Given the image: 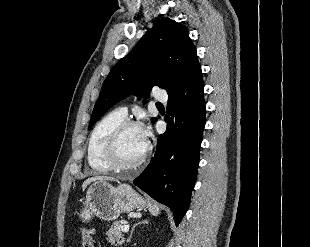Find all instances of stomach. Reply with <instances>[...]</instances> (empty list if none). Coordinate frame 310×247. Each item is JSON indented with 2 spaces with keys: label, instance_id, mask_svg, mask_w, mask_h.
<instances>
[{
  "label": "stomach",
  "instance_id": "obj_1",
  "mask_svg": "<svg viewBox=\"0 0 310 247\" xmlns=\"http://www.w3.org/2000/svg\"><path fill=\"white\" fill-rule=\"evenodd\" d=\"M146 202L130 185L113 187L106 181H96L87 191L82 209L77 215L82 222H89L94 216L104 221L116 220L122 212L144 208Z\"/></svg>",
  "mask_w": 310,
  "mask_h": 247
}]
</instances>
